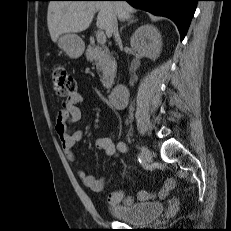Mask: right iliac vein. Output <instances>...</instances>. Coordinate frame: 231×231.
<instances>
[{"label": "right iliac vein", "mask_w": 231, "mask_h": 231, "mask_svg": "<svg viewBox=\"0 0 231 231\" xmlns=\"http://www.w3.org/2000/svg\"><path fill=\"white\" fill-rule=\"evenodd\" d=\"M141 150V156L142 158L147 162L150 163L153 159V154L152 152L146 147V146H142L140 148Z\"/></svg>", "instance_id": "obj_1"}]
</instances>
